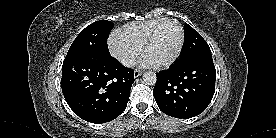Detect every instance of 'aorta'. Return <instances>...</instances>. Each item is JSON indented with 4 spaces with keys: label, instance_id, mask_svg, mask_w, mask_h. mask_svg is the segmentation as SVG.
Returning <instances> with one entry per match:
<instances>
[{
    "label": "aorta",
    "instance_id": "aorta-1",
    "mask_svg": "<svg viewBox=\"0 0 276 138\" xmlns=\"http://www.w3.org/2000/svg\"><path fill=\"white\" fill-rule=\"evenodd\" d=\"M157 81V76L154 72H145L143 74V82L146 84V85H155Z\"/></svg>",
    "mask_w": 276,
    "mask_h": 138
}]
</instances>
